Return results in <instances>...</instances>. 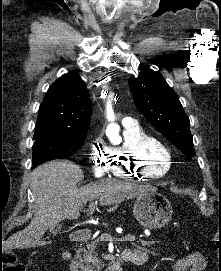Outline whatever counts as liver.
Instances as JSON below:
<instances>
[{
	"mask_svg": "<svg viewBox=\"0 0 221 271\" xmlns=\"http://www.w3.org/2000/svg\"><path fill=\"white\" fill-rule=\"evenodd\" d=\"M83 171L73 161H46L35 167L31 173L32 189L35 197V213L29 225L13 233L7 239V249H22L47 245L42 241L46 229L57 225L62 219H77L79 209L90 197H99L100 205H115L128 195H136L134 185L119 179H98L77 187ZM103 191V193H102ZM140 193V191H137Z\"/></svg>",
	"mask_w": 221,
	"mask_h": 271,
	"instance_id": "liver-1",
	"label": "liver"
}]
</instances>
